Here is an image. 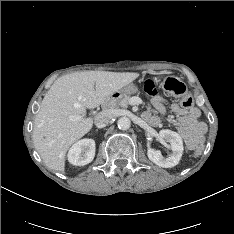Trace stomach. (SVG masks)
Wrapping results in <instances>:
<instances>
[{
  "mask_svg": "<svg viewBox=\"0 0 234 234\" xmlns=\"http://www.w3.org/2000/svg\"><path fill=\"white\" fill-rule=\"evenodd\" d=\"M138 92V87L134 83H128L123 86L120 90L115 93H118L119 97H123L125 95H131Z\"/></svg>",
  "mask_w": 234,
  "mask_h": 234,
  "instance_id": "stomach-1",
  "label": "stomach"
}]
</instances>
